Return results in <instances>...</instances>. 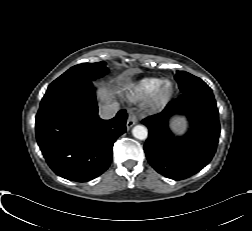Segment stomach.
<instances>
[{
	"instance_id": "obj_1",
	"label": "stomach",
	"mask_w": 252,
	"mask_h": 231,
	"mask_svg": "<svg viewBox=\"0 0 252 231\" xmlns=\"http://www.w3.org/2000/svg\"><path fill=\"white\" fill-rule=\"evenodd\" d=\"M186 126V120L183 118H176L172 122V127L178 134L184 133Z\"/></svg>"
}]
</instances>
